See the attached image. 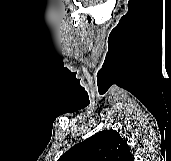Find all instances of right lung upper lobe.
<instances>
[{"label":"right lung upper lobe","instance_id":"right-lung-upper-lobe-1","mask_svg":"<svg viewBox=\"0 0 171 161\" xmlns=\"http://www.w3.org/2000/svg\"><path fill=\"white\" fill-rule=\"evenodd\" d=\"M58 161H133V155L117 131L103 130L73 146Z\"/></svg>","mask_w":171,"mask_h":161}]
</instances>
